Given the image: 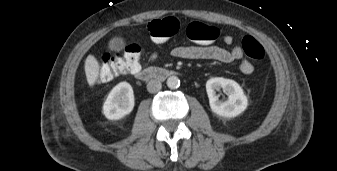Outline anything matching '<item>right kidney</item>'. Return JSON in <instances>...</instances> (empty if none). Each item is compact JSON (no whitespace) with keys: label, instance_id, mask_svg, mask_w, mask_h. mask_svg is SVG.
Segmentation results:
<instances>
[{"label":"right kidney","instance_id":"ca27d5eb","mask_svg":"<svg viewBox=\"0 0 337 171\" xmlns=\"http://www.w3.org/2000/svg\"><path fill=\"white\" fill-rule=\"evenodd\" d=\"M134 104L132 86L121 82L110 91L103 105V113L109 120H118L131 113Z\"/></svg>","mask_w":337,"mask_h":171}]
</instances>
